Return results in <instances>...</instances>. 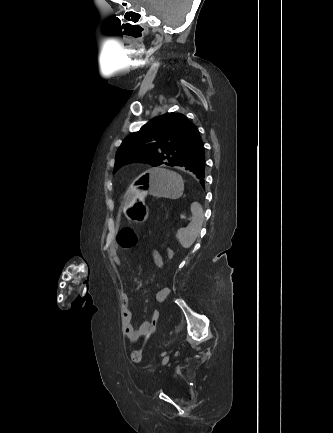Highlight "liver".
<instances>
[{
  "mask_svg": "<svg viewBox=\"0 0 333 433\" xmlns=\"http://www.w3.org/2000/svg\"><path fill=\"white\" fill-rule=\"evenodd\" d=\"M135 199L137 201H142L144 199V194L142 192H137L135 194ZM127 207H131V204H127Z\"/></svg>",
  "mask_w": 333,
  "mask_h": 433,
  "instance_id": "liver-1",
  "label": "liver"
}]
</instances>
